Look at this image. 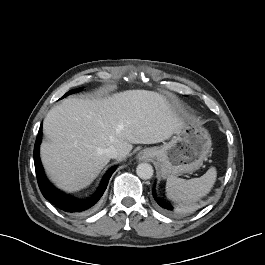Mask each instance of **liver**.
Masks as SVG:
<instances>
[{"label":"liver","instance_id":"liver-1","mask_svg":"<svg viewBox=\"0 0 265 265\" xmlns=\"http://www.w3.org/2000/svg\"><path fill=\"white\" fill-rule=\"evenodd\" d=\"M185 120L161 94L128 90L102 99H65L43 122L48 141L40 148L50 179L68 192L90 185L109 162L104 150L114 146L118 160L132 144H156L169 139Z\"/></svg>","mask_w":265,"mask_h":265}]
</instances>
